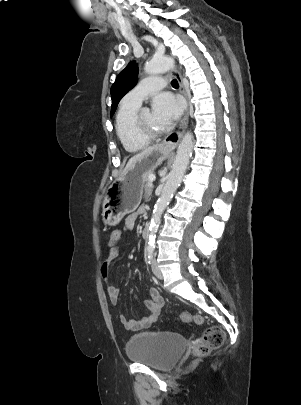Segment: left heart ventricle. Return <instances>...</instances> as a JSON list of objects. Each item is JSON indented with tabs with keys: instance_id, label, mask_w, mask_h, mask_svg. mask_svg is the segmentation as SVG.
I'll use <instances>...</instances> for the list:
<instances>
[{
	"instance_id": "left-heart-ventricle-1",
	"label": "left heart ventricle",
	"mask_w": 301,
	"mask_h": 405,
	"mask_svg": "<svg viewBox=\"0 0 301 405\" xmlns=\"http://www.w3.org/2000/svg\"><path fill=\"white\" fill-rule=\"evenodd\" d=\"M143 122L146 128L151 130H162L165 128L163 124H161L157 118L154 116L153 112L150 110L143 111Z\"/></svg>"
}]
</instances>
